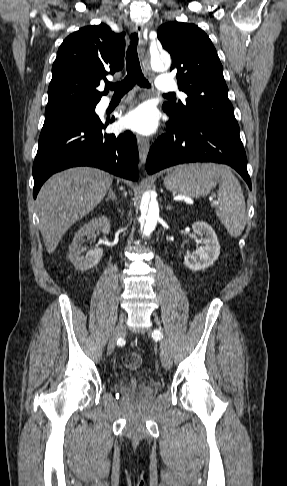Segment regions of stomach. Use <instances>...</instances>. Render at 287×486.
I'll list each match as a JSON object with an SVG mask.
<instances>
[{
	"instance_id": "obj_1",
	"label": "stomach",
	"mask_w": 287,
	"mask_h": 486,
	"mask_svg": "<svg viewBox=\"0 0 287 486\" xmlns=\"http://www.w3.org/2000/svg\"><path fill=\"white\" fill-rule=\"evenodd\" d=\"M219 178L220 174L206 167V164H184L166 175L164 185L174 194L199 197L207 195Z\"/></svg>"
}]
</instances>
